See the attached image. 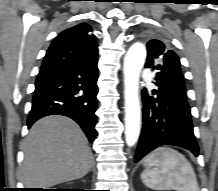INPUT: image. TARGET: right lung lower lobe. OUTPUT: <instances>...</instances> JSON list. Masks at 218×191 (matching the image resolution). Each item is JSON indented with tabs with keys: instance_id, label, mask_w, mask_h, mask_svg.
<instances>
[{
	"instance_id": "98d812e1",
	"label": "right lung lower lobe",
	"mask_w": 218,
	"mask_h": 191,
	"mask_svg": "<svg viewBox=\"0 0 218 191\" xmlns=\"http://www.w3.org/2000/svg\"><path fill=\"white\" fill-rule=\"evenodd\" d=\"M97 55V43L53 40L35 82L28 127L44 116L64 115L81 126L91 143L95 140Z\"/></svg>"
}]
</instances>
